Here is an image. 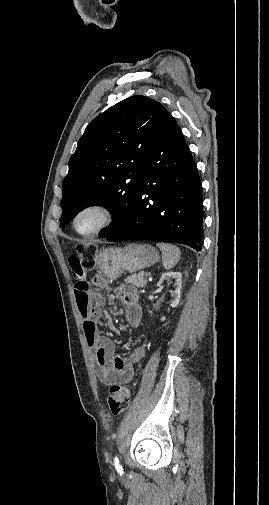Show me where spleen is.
<instances>
[{
	"label": "spleen",
	"instance_id": "1",
	"mask_svg": "<svg viewBox=\"0 0 269 505\" xmlns=\"http://www.w3.org/2000/svg\"><path fill=\"white\" fill-rule=\"evenodd\" d=\"M156 245L162 252V264L164 269L170 270L177 264L180 258V249L177 246L169 243L158 242Z\"/></svg>",
	"mask_w": 269,
	"mask_h": 505
}]
</instances>
